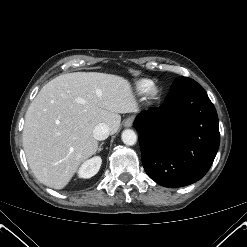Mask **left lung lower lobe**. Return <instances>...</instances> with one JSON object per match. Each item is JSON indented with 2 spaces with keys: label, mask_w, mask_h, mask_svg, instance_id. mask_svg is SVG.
Segmentation results:
<instances>
[{
  "label": "left lung lower lobe",
  "mask_w": 247,
  "mask_h": 247,
  "mask_svg": "<svg viewBox=\"0 0 247 247\" xmlns=\"http://www.w3.org/2000/svg\"><path fill=\"white\" fill-rule=\"evenodd\" d=\"M134 127L147 175L165 187L201 179L219 148L216 109L194 80L174 82L164 103L138 114Z\"/></svg>",
  "instance_id": "left-lung-lower-lobe-1"
}]
</instances>
